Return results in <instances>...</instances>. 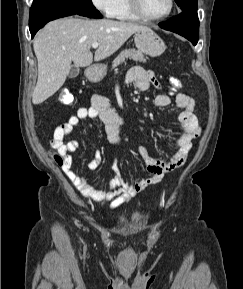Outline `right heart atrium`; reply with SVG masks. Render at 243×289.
Segmentation results:
<instances>
[{"instance_id": "obj_1", "label": "right heart atrium", "mask_w": 243, "mask_h": 289, "mask_svg": "<svg viewBox=\"0 0 243 289\" xmlns=\"http://www.w3.org/2000/svg\"><path fill=\"white\" fill-rule=\"evenodd\" d=\"M91 2L98 10L109 15L115 6L116 0H91Z\"/></svg>"}]
</instances>
